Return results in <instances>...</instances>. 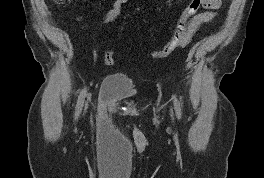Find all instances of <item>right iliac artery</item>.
Returning a JSON list of instances; mask_svg holds the SVG:
<instances>
[{"label":"right iliac artery","mask_w":264,"mask_h":178,"mask_svg":"<svg viewBox=\"0 0 264 178\" xmlns=\"http://www.w3.org/2000/svg\"><path fill=\"white\" fill-rule=\"evenodd\" d=\"M85 95H86V89H83L79 95L77 105H76V109H75V117L76 118H78L79 114L81 113L83 103H84V99H85Z\"/></svg>","instance_id":"right-iliac-artery-1"}]
</instances>
